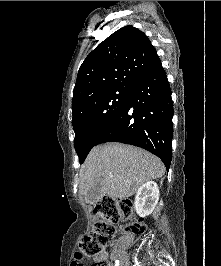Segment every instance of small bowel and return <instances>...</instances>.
<instances>
[{
  "mask_svg": "<svg viewBox=\"0 0 221 266\" xmlns=\"http://www.w3.org/2000/svg\"><path fill=\"white\" fill-rule=\"evenodd\" d=\"M72 257L71 258V264L70 266H83L82 263V258L83 257V252H72ZM107 259V252H102L98 257L95 258V260H101L105 261ZM106 266H111L110 263H108Z\"/></svg>",
  "mask_w": 221,
  "mask_h": 266,
  "instance_id": "1",
  "label": "small bowel"
}]
</instances>
